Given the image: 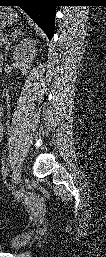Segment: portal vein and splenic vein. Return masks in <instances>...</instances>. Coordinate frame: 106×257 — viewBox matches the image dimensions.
<instances>
[{
    "mask_svg": "<svg viewBox=\"0 0 106 257\" xmlns=\"http://www.w3.org/2000/svg\"><path fill=\"white\" fill-rule=\"evenodd\" d=\"M1 41L6 42V41H7V39H4V40H2V39H1Z\"/></svg>",
    "mask_w": 106,
    "mask_h": 257,
    "instance_id": "1",
    "label": "portal vein and splenic vein"
}]
</instances>
